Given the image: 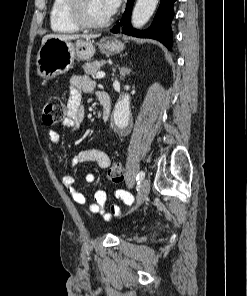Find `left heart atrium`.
<instances>
[{"label": "left heart atrium", "instance_id": "obj_1", "mask_svg": "<svg viewBox=\"0 0 247 296\" xmlns=\"http://www.w3.org/2000/svg\"><path fill=\"white\" fill-rule=\"evenodd\" d=\"M104 7L109 16L113 15L120 6L121 0H103Z\"/></svg>", "mask_w": 247, "mask_h": 296}]
</instances>
